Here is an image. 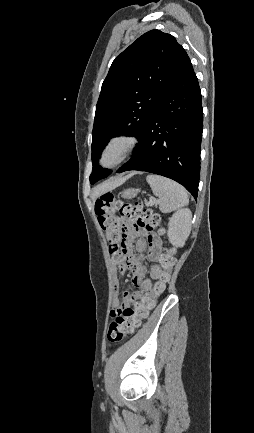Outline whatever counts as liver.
I'll use <instances>...</instances> for the list:
<instances>
[{"label":"liver","instance_id":"6515ba94","mask_svg":"<svg viewBox=\"0 0 254 433\" xmlns=\"http://www.w3.org/2000/svg\"><path fill=\"white\" fill-rule=\"evenodd\" d=\"M131 175L132 174L127 175L125 177H120L117 179L109 180V181H106V182L98 185L96 188H94V190L92 192L93 198H96L100 194L122 185Z\"/></svg>","mask_w":254,"mask_h":433}]
</instances>
